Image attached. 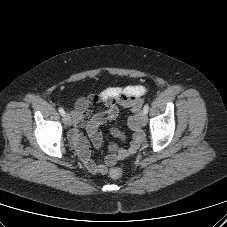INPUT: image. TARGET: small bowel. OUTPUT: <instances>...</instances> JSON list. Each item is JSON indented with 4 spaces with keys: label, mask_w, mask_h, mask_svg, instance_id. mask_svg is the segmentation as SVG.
I'll return each mask as SVG.
<instances>
[{
    "label": "small bowel",
    "mask_w": 227,
    "mask_h": 227,
    "mask_svg": "<svg viewBox=\"0 0 227 227\" xmlns=\"http://www.w3.org/2000/svg\"><path fill=\"white\" fill-rule=\"evenodd\" d=\"M144 93L145 88L141 85H133L125 89L110 87L100 93L77 100L73 112L76 127L71 131L70 139L89 172L93 174H105L109 166H113L119 160L137 151L144 139V134L135 116H130L128 119V127L132 132L128 146L121 148L116 144H111L109 154L106 156L104 163H99L91 159L87 137L91 140L95 148H99L102 143L100 126L103 123L116 119L120 106L130 108L132 111L138 110L142 105V96ZM92 105H103L105 110L101 113L91 115L90 107ZM82 128L85 132L81 130ZM111 134L116 138L125 139V135L117 128H113Z\"/></svg>",
    "instance_id": "small-bowel-1"
}]
</instances>
